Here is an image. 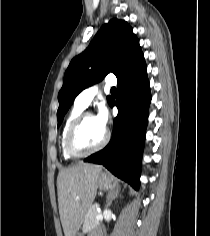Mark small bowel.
<instances>
[{
    "label": "small bowel",
    "mask_w": 210,
    "mask_h": 236,
    "mask_svg": "<svg viewBox=\"0 0 210 236\" xmlns=\"http://www.w3.org/2000/svg\"><path fill=\"white\" fill-rule=\"evenodd\" d=\"M91 236H102V231L100 229L95 230Z\"/></svg>",
    "instance_id": "obj_1"
}]
</instances>
